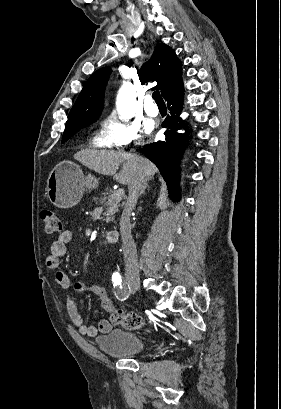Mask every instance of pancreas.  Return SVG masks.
I'll use <instances>...</instances> for the list:
<instances>
[{"label": "pancreas", "instance_id": "obj_1", "mask_svg": "<svg viewBox=\"0 0 281 409\" xmlns=\"http://www.w3.org/2000/svg\"><path fill=\"white\" fill-rule=\"evenodd\" d=\"M113 198H114L113 190H109V192H103V196H100L99 200L101 202V205H106V207H110L109 201ZM112 209H113V213H111V215H114V213H117L118 208H112ZM103 221H107V223H109V221H114V219L113 217H106V219H103Z\"/></svg>", "mask_w": 281, "mask_h": 409}]
</instances>
